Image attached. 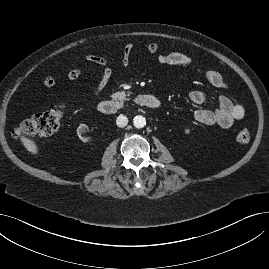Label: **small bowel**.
<instances>
[{
  "mask_svg": "<svg viewBox=\"0 0 269 269\" xmlns=\"http://www.w3.org/2000/svg\"><path fill=\"white\" fill-rule=\"evenodd\" d=\"M134 49L131 42H127L121 52L119 64L127 66ZM145 51L152 56L159 64H167L172 66L186 67L191 65V59L181 52H159V47L156 42H150L146 45ZM85 58L90 63L102 67L101 77L93 90L94 95H98L107 86L112 77V67L109 59L95 55L86 54ZM83 74L80 68H68L67 76L71 80L79 78ZM206 80L215 88L225 89L227 87L224 77L217 71L209 70L205 72ZM46 87L52 89L55 86V81L52 77H47L44 81ZM189 101L193 105H202L208 100V95L202 91H192L189 94ZM218 108L216 109H199L195 112V120L204 125H216L222 128H229L234 122L242 119L245 116L246 110L242 104L234 103L228 96L221 95L218 99Z\"/></svg>",
  "mask_w": 269,
  "mask_h": 269,
  "instance_id": "1",
  "label": "small bowel"
}]
</instances>
